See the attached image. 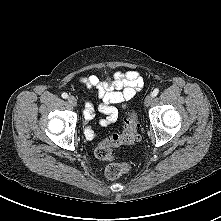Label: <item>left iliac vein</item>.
Wrapping results in <instances>:
<instances>
[{
  "label": "left iliac vein",
  "mask_w": 221,
  "mask_h": 221,
  "mask_svg": "<svg viewBox=\"0 0 221 221\" xmlns=\"http://www.w3.org/2000/svg\"><path fill=\"white\" fill-rule=\"evenodd\" d=\"M152 100H153L152 94L147 95L146 98H145V100H144V105H145L146 107H148V106L151 104Z\"/></svg>",
  "instance_id": "1"
}]
</instances>
